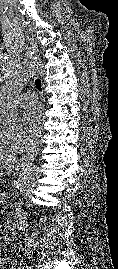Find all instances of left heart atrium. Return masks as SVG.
I'll return each mask as SVG.
<instances>
[{"mask_svg": "<svg viewBox=\"0 0 118 269\" xmlns=\"http://www.w3.org/2000/svg\"><path fill=\"white\" fill-rule=\"evenodd\" d=\"M23 121L31 136H37L42 130L45 121L43 106L39 103H33L28 106L23 114Z\"/></svg>", "mask_w": 118, "mask_h": 269, "instance_id": "left-heart-atrium-1", "label": "left heart atrium"}]
</instances>
